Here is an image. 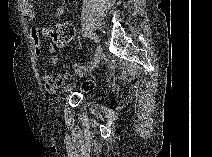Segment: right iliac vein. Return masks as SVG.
Instances as JSON below:
<instances>
[{
	"mask_svg": "<svg viewBox=\"0 0 212 157\" xmlns=\"http://www.w3.org/2000/svg\"><path fill=\"white\" fill-rule=\"evenodd\" d=\"M97 38V48H96V53H95V56L93 58V61L91 62V64L85 69V72L88 73V72H91L97 65L98 63L100 62V59H101V47H100V38L98 36H96Z\"/></svg>",
	"mask_w": 212,
	"mask_h": 157,
	"instance_id": "right-iliac-vein-1",
	"label": "right iliac vein"
}]
</instances>
